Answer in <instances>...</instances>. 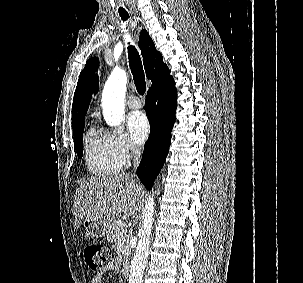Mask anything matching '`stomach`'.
<instances>
[{
    "label": "stomach",
    "mask_w": 303,
    "mask_h": 283,
    "mask_svg": "<svg viewBox=\"0 0 303 283\" xmlns=\"http://www.w3.org/2000/svg\"><path fill=\"white\" fill-rule=\"evenodd\" d=\"M113 222L114 220L107 218L84 219L85 235L92 238L105 237L111 231Z\"/></svg>",
    "instance_id": "0dacf381"
}]
</instances>
